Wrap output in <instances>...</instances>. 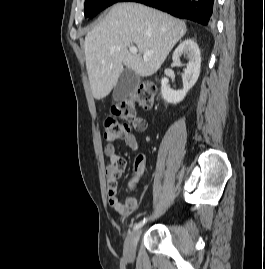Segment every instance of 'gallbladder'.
Returning <instances> with one entry per match:
<instances>
[{"instance_id":"gallbladder-1","label":"gallbladder","mask_w":265,"mask_h":269,"mask_svg":"<svg viewBox=\"0 0 265 269\" xmlns=\"http://www.w3.org/2000/svg\"><path fill=\"white\" fill-rule=\"evenodd\" d=\"M139 84V76L130 69H124L113 89L114 101H122L133 94Z\"/></svg>"}]
</instances>
